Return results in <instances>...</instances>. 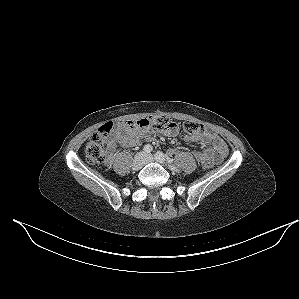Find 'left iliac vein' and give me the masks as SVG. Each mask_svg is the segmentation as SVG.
Wrapping results in <instances>:
<instances>
[{
  "instance_id": "obj_1",
  "label": "left iliac vein",
  "mask_w": 299,
  "mask_h": 299,
  "mask_svg": "<svg viewBox=\"0 0 299 299\" xmlns=\"http://www.w3.org/2000/svg\"><path fill=\"white\" fill-rule=\"evenodd\" d=\"M154 162V158L152 155L148 154L145 156V163H151ZM159 162V161H158ZM159 163H163V162H159Z\"/></svg>"
}]
</instances>
